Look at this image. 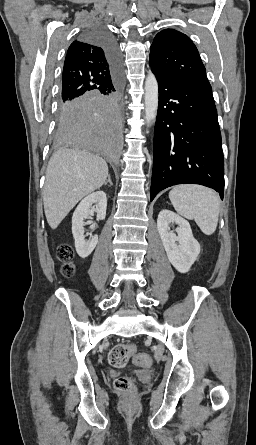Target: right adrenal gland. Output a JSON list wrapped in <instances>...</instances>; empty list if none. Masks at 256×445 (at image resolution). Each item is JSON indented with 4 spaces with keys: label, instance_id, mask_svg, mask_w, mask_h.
<instances>
[{
    "label": "right adrenal gland",
    "instance_id": "obj_1",
    "mask_svg": "<svg viewBox=\"0 0 256 445\" xmlns=\"http://www.w3.org/2000/svg\"><path fill=\"white\" fill-rule=\"evenodd\" d=\"M108 183H109L110 186L113 185V183H112V181H111V177H110L109 174H108V176H107V180L104 182V185H107Z\"/></svg>",
    "mask_w": 256,
    "mask_h": 445
}]
</instances>
